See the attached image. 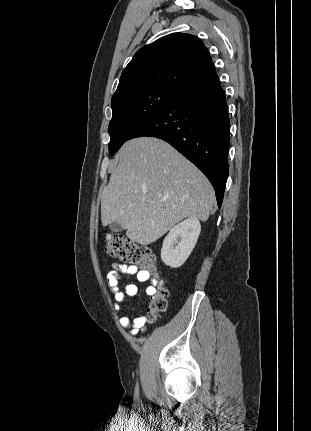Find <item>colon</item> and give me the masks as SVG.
I'll list each match as a JSON object with an SVG mask.
<instances>
[{
  "instance_id": "colon-1",
  "label": "colon",
  "mask_w": 311,
  "mask_h": 431,
  "mask_svg": "<svg viewBox=\"0 0 311 431\" xmlns=\"http://www.w3.org/2000/svg\"><path fill=\"white\" fill-rule=\"evenodd\" d=\"M106 252L122 262L137 265L156 278L155 292L151 296L146 310V320L154 322L167 307L168 289L159 278L156 257L151 248L140 245L118 234L106 238Z\"/></svg>"
}]
</instances>
